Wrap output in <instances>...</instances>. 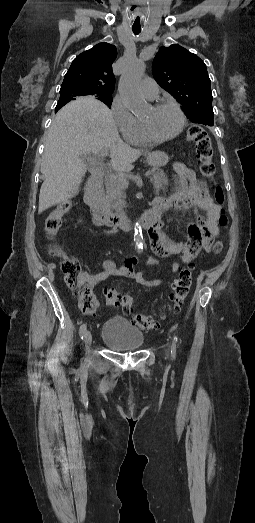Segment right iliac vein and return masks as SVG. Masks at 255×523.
I'll use <instances>...</instances> for the list:
<instances>
[{"mask_svg": "<svg viewBox=\"0 0 255 523\" xmlns=\"http://www.w3.org/2000/svg\"><path fill=\"white\" fill-rule=\"evenodd\" d=\"M84 341H85L86 352L89 353L90 345L92 342V335H91L90 331L85 332Z\"/></svg>", "mask_w": 255, "mask_h": 523, "instance_id": "1", "label": "right iliac vein"}]
</instances>
